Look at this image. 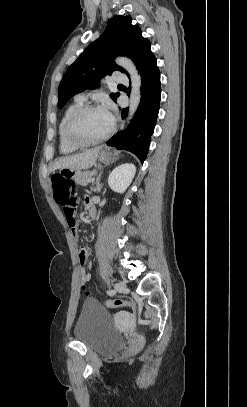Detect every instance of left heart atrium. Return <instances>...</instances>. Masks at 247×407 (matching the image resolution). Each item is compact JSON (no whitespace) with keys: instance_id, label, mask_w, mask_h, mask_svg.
I'll return each instance as SVG.
<instances>
[{"instance_id":"obj_1","label":"left heart atrium","mask_w":247,"mask_h":407,"mask_svg":"<svg viewBox=\"0 0 247 407\" xmlns=\"http://www.w3.org/2000/svg\"><path fill=\"white\" fill-rule=\"evenodd\" d=\"M102 110L104 111V113L106 114V116L108 117V119L111 121V123L114 122V115H113V105L111 102H106V104L104 105V107L102 108Z\"/></svg>"}]
</instances>
